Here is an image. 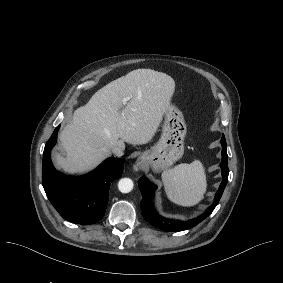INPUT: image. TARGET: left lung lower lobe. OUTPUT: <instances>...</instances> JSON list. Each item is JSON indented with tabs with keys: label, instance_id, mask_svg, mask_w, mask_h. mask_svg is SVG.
<instances>
[{
	"label": "left lung lower lobe",
	"instance_id": "obj_1",
	"mask_svg": "<svg viewBox=\"0 0 283 283\" xmlns=\"http://www.w3.org/2000/svg\"><path fill=\"white\" fill-rule=\"evenodd\" d=\"M222 145V162L220 163L222 169V176L223 181L220 184L219 190L216 193L215 199L213 204L200 216L197 218H193L188 221H181L176 219H169L160 215L152 206V199L154 198V192L156 190V186L150 183L145 177H141L139 179V189L142 193V201L140 203L141 212L144 219L149 222L151 225L155 226L156 228L169 231V232H178L187 230L190 228L195 227L200 222H202L205 218H207L214 208L217 206L223 191L226 187L228 182V156H227V149H226V140L224 135L221 139Z\"/></svg>",
	"mask_w": 283,
	"mask_h": 283
}]
</instances>
